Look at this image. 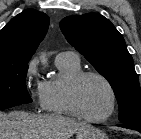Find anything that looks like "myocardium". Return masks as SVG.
I'll return each instance as SVG.
<instances>
[{"mask_svg":"<svg viewBox=\"0 0 141 139\" xmlns=\"http://www.w3.org/2000/svg\"><path fill=\"white\" fill-rule=\"evenodd\" d=\"M88 77H96L104 82V84L109 89L110 95H111V106L108 111V113L102 117H90L86 115L78 101V89L82 81ZM67 102L69 105L70 110L73 112V114L85 121L94 122V123H100L107 121L115 112L116 106H117V95L116 91L110 82V80L104 76L103 74L97 72V71H82L75 75L68 83L67 85Z\"/></svg>","mask_w":141,"mask_h":139,"instance_id":"1","label":"myocardium"}]
</instances>
